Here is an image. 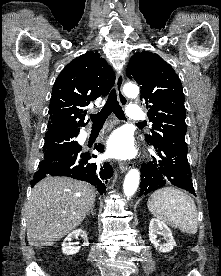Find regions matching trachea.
<instances>
[{"label": "trachea", "instance_id": "obj_1", "mask_svg": "<svg viewBox=\"0 0 221 276\" xmlns=\"http://www.w3.org/2000/svg\"><path fill=\"white\" fill-rule=\"evenodd\" d=\"M112 112L120 120H125L126 119L124 111L122 110V108L119 105V102L117 100V95H116L115 89H113L110 92L109 97H108L104 107L102 108V110L100 112H98L97 114H91L90 115V118L93 122V125H103L104 122L106 121V119L108 118V116ZM138 124H142V123H138Z\"/></svg>", "mask_w": 221, "mask_h": 276}]
</instances>
